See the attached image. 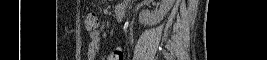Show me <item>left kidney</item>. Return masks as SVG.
<instances>
[{"mask_svg": "<svg viewBox=\"0 0 267 60\" xmlns=\"http://www.w3.org/2000/svg\"><path fill=\"white\" fill-rule=\"evenodd\" d=\"M175 0H161L158 11L151 15L147 11H142L139 14V22L144 25H154L160 23L165 15L170 11Z\"/></svg>", "mask_w": 267, "mask_h": 60, "instance_id": "left-kidney-1", "label": "left kidney"}]
</instances>
